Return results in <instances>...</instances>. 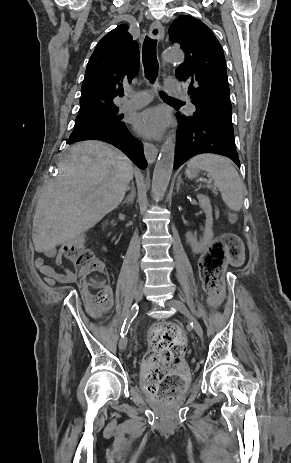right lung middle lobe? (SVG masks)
Here are the masks:
<instances>
[{
  "mask_svg": "<svg viewBox=\"0 0 291 463\" xmlns=\"http://www.w3.org/2000/svg\"><path fill=\"white\" fill-rule=\"evenodd\" d=\"M117 112L118 109H113L87 117L76 118L75 129L70 137L93 130L116 128L123 125L122 116L117 115Z\"/></svg>",
  "mask_w": 291,
  "mask_h": 463,
  "instance_id": "right-lung-middle-lobe-1",
  "label": "right lung middle lobe"
}]
</instances>
